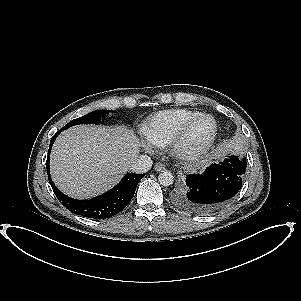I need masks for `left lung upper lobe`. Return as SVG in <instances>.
<instances>
[{
    "label": "left lung upper lobe",
    "instance_id": "1",
    "mask_svg": "<svg viewBox=\"0 0 301 301\" xmlns=\"http://www.w3.org/2000/svg\"><path fill=\"white\" fill-rule=\"evenodd\" d=\"M181 188V186L179 187V189ZM179 189H177L175 192H174V194H173V197H172V199H173V201L176 203V200H175V194H176V192L179 190Z\"/></svg>",
    "mask_w": 301,
    "mask_h": 301
}]
</instances>
